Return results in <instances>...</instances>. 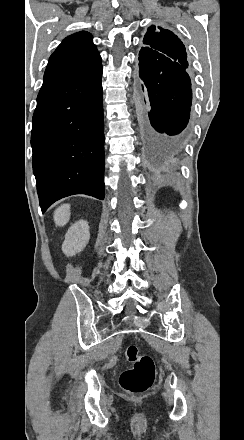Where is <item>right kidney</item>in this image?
I'll use <instances>...</instances> for the list:
<instances>
[{
  "mask_svg": "<svg viewBox=\"0 0 244 440\" xmlns=\"http://www.w3.org/2000/svg\"><path fill=\"white\" fill-rule=\"evenodd\" d=\"M90 240L88 222L78 220L69 228L62 244V252L65 256H75L84 250Z\"/></svg>",
  "mask_w": 244,
  "mask_h": 440,
  "instance_id": "ca27d5eb",
  "label": "right kidney"
}]
</instances>
